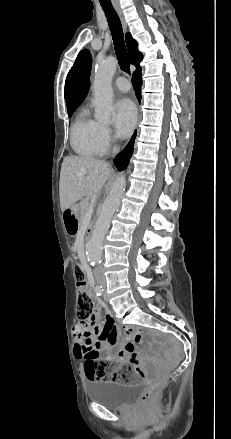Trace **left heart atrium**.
Wrapping results in <instances>:
<instances>
[{"instance_id": "obj_1", "label": "left heart atrium", "mask_w": 231, "mask_h": 439, "mask_svg": "<svg viewBox=\"0 0 231 439\" xmlns=\"http://www.w3.org/2000/svg\"><path fill=\"white\" fill-rule=\"evenodd\" d=\"M137 113L134 104L127 98L118 100L114 105V126L119 137L130 135L135 123Z\"/></svg>"}]
</instances>
